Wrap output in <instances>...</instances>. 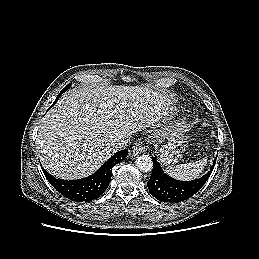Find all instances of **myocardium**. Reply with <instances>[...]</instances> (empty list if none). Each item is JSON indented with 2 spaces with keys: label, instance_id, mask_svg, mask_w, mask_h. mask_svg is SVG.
Returning a JSON list of instances; mask_svg holds the SVG:
<instances>
[{
  "label": "myocardium",
  "instance_id": "1",
  "mask_svg": "<svg viewBox=\"0 0 259 259\" xmlns=\"http://www.w3.org/2000/svg\"><path fill=\"white\" fill-rule=\"evenodd\" d=\"M187 118H183V121H185Z\"/></svg>",
  "mask_w": 259,
  "mask_h": 259
}]
</instances>
